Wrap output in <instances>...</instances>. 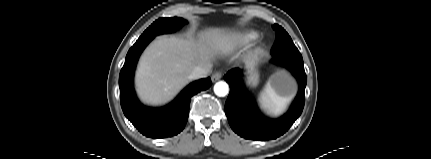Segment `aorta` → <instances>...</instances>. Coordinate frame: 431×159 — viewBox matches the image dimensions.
I'll use <instances>...</instances> for the list:
<instances>
[{
    "label": "aorta",
    "mask_w": 431,
    "mask_h": 159,
    "mask_svg": "<svg viewBox=\"0 0 431 159\" xmlns=\"http://www.w3.org/2000/svg\"><path fill=\"white\" fill-rule=\"evenodd\" d=\"M214 92L218 96H226L229 92V87L226 82L219 81L214 85Z\"/></svg>",
    "instance_id": "1"
}]
</instances>
